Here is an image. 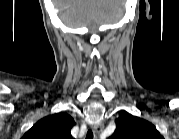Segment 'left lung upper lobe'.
I'll return each mask as SVG.
<instances>
[{"label":"left lung upper lobe","mask_w":179,"mask_h":139,"mask_svg":"<svg viewBox=\"0 0 179 139\" xmlns=\"http://www.w3.org/2000/svg\"><path fill=\"white\" fill-rule=\"evenodd\" d=\"M115 122L116 130L111 139H161L156 127L139 117L123 114Z\"/></svg>","instance_id":"obj_1"}]
</instances>
